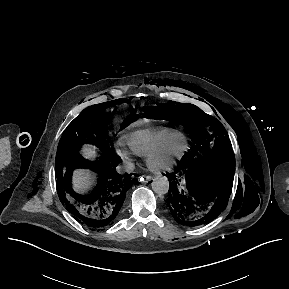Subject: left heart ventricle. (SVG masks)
<instances>
[{"label": "left heart ventricle", "mask_w": 289, "mask_h": 289, "mask_svg": "<svg viewBox=\"0 0 289 289\" xmlns=\"http://www.w3.org/2000/svg\"><path fill=\"white\" fill-rule=\"evenodd\" d=\"M181 148V143L180 142H175V143H173L171 146H170V148H169V153L171 154V153H176V152H178L179 151V149ZM166 156H164V157H162L161 159H160V161H165L166 160Z\"/></svg>", "instance_id": "1"}]
</instances>
